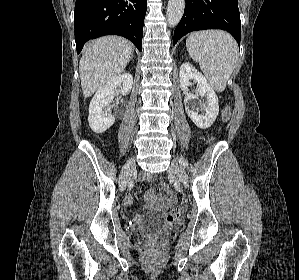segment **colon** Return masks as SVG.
I'll return each mask as SVG.
<instances>
[{
	"mask_svg": "<svg viewBox=\"0 0 299 280\" xmlns=\"http://www.w3.org/2000/svg\"><path fill=\"white\" fill-rule=\"evenodd\" d=\"M228 116H229V112L226 110V111L224 112L223 117H224L225 120H227V119H228ZM181 215H182V209H181V207H179V206H175V207H173V208L168 212L166 219H167V221H169V222H174V221H176L177 219H179V218L181 217Z\"/></svg>",
	"mask_w": 299,
	"mask_h": 280,
	"instance_id": "5ec220e1",
	"label": "colon"
}]
</instances>
